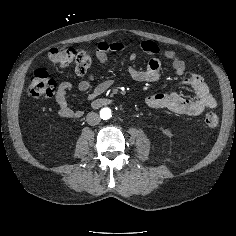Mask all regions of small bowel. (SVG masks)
<instances>
[{"instance_id": "c3829d8e", "label": "small bowel", "mask_w": 236, "mask_h": 236, "mask_svg": "<svg viewBox=\"0 0 236 236\" xmlns=\"http://www.w3.org/2000/svg\"><path fill=\"white\" fill-rule=\"evenodd\" d=\"M142 50L151 55V59L145 69H136L132 64L128 67L130 77L137 82H155L160 77L162 68L161 60L158 57L160 49L158 45L151 40H144L141 43ZM111 52L128 53L129 61L132 63L136 59V53L130 51L127 44L114 41H101L98 43L95 55L100 66H104L108 62V55ZM164 57L171 62L172 68L179 76H183L186 72V65L173 51H165ZM94 74H87L80 81L78 88L81 92L86 93L91 89L94 81ZM113 84L111 79H107L98 85L93 90V95H99L106 92ZM181 85L190 87L194 92L193 99L184 98L176 90L170 93H157L146 98V104L151 108L168 109L169 111L180 114L196 116L207 109L216 107V100L210 93L207 84L203 78L196 73H192L183 78ZM72 85L68 81H63L59 84L54 100L58 107V113L63 118H78L82 115L81 110H76L68 105L66 95L71 90Z\"/></svg>"}]
</instances>
